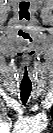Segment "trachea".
<instances>
[{
	"instance_id": "1",
	"label": "trachea",
	"mask_w": 53,
	"mask_h": 133,
	"mask_svg": "<svg viewBox=\"0 0 53 133\" xmlns=\"http://www.w3.org/2000/svg\"><path fill=\"white\" fill-rule=\"evenodd\" d=\"M32 88H21V93H20V97H21V101L23 104H26L30 93H31Z\"/></svg>"
}]
</instances>
